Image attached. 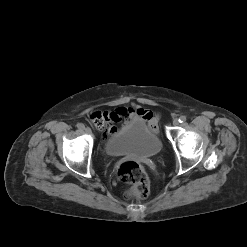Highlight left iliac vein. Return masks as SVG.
<instances>
[{"label": "left iliac vein", "instance_id": "obj_1", "mask_svg": "<svg viewBox=\"0 0 247 247\" xmlns=\"http://www.w3.org/2000/svg\"><path fill=\"white\" fill-rule=\"evenodd\" d=\"M173 125L174 126H178L179 125V120L178 119H174L173 120Z\"/></svg>", "mask_w": 247, "mask_h": 247}]
</instances>
